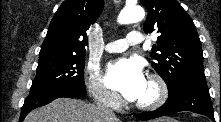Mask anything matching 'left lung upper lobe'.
I'll return each instance as SVG.
<instances>
[{"instance_id":"5c2ea615","label":"left lung upper lobe","mask_w":221,"mask_h":122,"mask_svg":"<svg viewBox=\"0 0 221 122\" xmlns=\"http://www.w3.org/2000/svg\"><path fill=\"white\" fill-rule=\"evenodd\" d=\"M144 31L161 35L152 47L153 68L173 92L185 82H206L201 42L190 16L176 0H141ZM159 53H156V52Z\"/></svg>"}]
</instances>
